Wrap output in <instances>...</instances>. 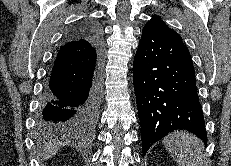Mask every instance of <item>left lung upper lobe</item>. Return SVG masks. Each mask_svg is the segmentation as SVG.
<instances>
[{
	"label": "left lung upper lobe",
	"mask_w": 231,
	"mask_h": 166,
	"mask_svg": "<svg viewBox=\"0 0 231 166\" xmlns=\"http://www.w3.org/2000/svg\"><path fill=\"white\" fill-rule=\"evenodd\" d=\"M145 27L164 37L182 40V37L173 29H170L159 16H153L151 20L147 22Z\"/></svg>",
	"instance_id": "5c2ea615"
}]
</instances>
